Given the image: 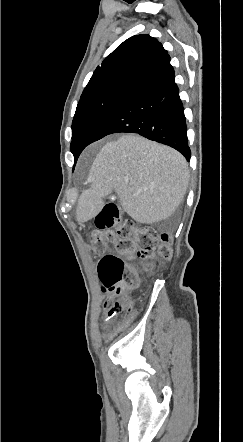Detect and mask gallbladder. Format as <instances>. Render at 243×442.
<instances>
[{"label": "gallbladder", "instance_id": "obj_1", "mask_svg": "<svg viewBox=\"0 0 243 442\" xmlns=\"http://www.w3.org/2000/svg\"><path fill=\"white\" fill-rule=\"evenodd\" d=\"M110 199H118V195L116 193H109L103 197V202L108 203ZM119 200V199H118Z\"/></svg>", "mask_w": 243, "mask_h": 442}]
</instances>
